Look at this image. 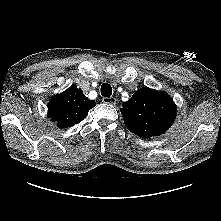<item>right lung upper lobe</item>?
Listing matches in <instances>:
<instances>
[{"mask_svg":"<svg viewBox=\"0 0 221 221\" xmlns=\"http://www.w3.org/2000/svg\"><path fill=\"white\" fill-rule=\"evenodd\" d=\"M95 105V101L85 97L81 89L71 86L51 99L48 117L59 128H68L81 122Z\"/></svg>","mask_w":221,"mask_h":221,"instance_id":"1","label":"right lung upper lobe"}]
</instances>
